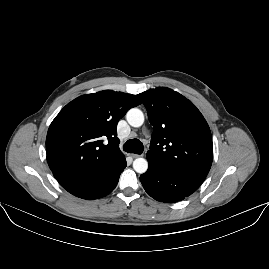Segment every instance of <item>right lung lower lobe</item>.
Wrapping results in <instances>:
<instances>
[{
	"instance_id": "1",
	"label": "right lung lower lobe",
	"mask_w": 269,
	"mask_h": 269,
	"mask_svg": "<svg viewBox=\"0 0 269 269\" xmlns=\"http://www.w3.org/2000/svg\"><path fill=\"white\" fill-rule=\"evenodd\" d=\"M126 167L122 154L105 163L99 169H86L58 178L60 185L74 196L83 199H98L108 195L116 187L120 174Z\"/></svg>"
}]
</instances>
